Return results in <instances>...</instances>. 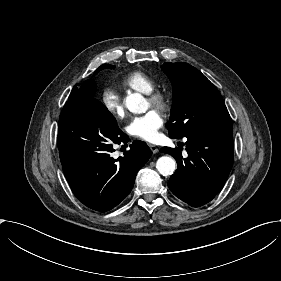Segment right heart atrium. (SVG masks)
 <instances>
[{"label": "right heart atrium", "instance_id": "1", "mask_svg": "<svg viewBox=\"0 0 281 281\" xmlns=\"http://www.w3.org/2000/svg\"><path fill=\"white\" fill-rule=\"evenodd\" d=\"M101 103L106 112L118 116L124 113L123 103L120 95L112 87H106L101 92Z\"/></svg>", "mask_w": 281, "mask_h": 281}]
</instances>
